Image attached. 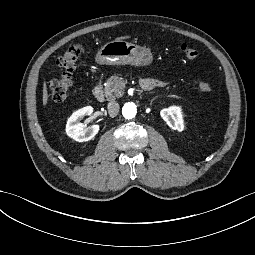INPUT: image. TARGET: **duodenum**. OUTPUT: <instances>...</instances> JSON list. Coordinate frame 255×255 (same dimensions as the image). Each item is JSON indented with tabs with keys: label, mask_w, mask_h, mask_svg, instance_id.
Listing matches in <instances>:
<instances>
[{
	"label": "duodenum",
	"mask_w": 255,
	"mask_h": 255,
	"mask_svg": "<svg viewBox=\"0 0 255 255\" xmlns=\"http://www.w3.org/2000/svg\"><path fill=\"white\" fill-rule=\"evenodd\" d=\"M141 85L144 89H148L151 86L150 82L148 81H143ZM92 94L98 101H102L104 99V89L102 80H99L98 83L93 87Z\"/></svg>",
	"instance_id": "1"
}]
</instances>
